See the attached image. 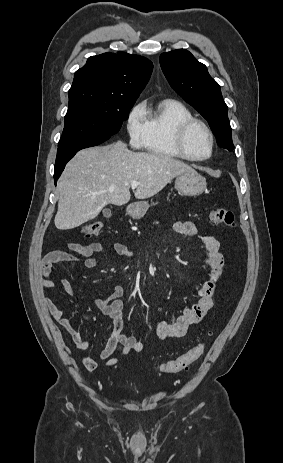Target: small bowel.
<instances>
[{"mask_svg": "<svg viewBox=\"0 0 283 463\" xmlns=\"http://www.w3.org/2000/svg\"><path fill=\"white\" fill-rule=\"evenodd\" d=\"M174 230L185 236H200L196 225L189 221L176 222ZM201 241L205 252V266L209 270V279L204 282L199 290L197 303L183 309L173 324H169L163 320L156 321L155 334L160 340L183 337L190 327L198 325L213 308L214 297L221 286L226 259L220 251L219 241L214 236L203 235L201 236ZM113 249L118 255L127 258L133 256L132 252L121 242L114 243ZM103 251V245L98 242H92L87 245L68 242L62 249L50 251L43 258L41 265V288L47 291L55 287V282L51 278L54 264L59 262H74L81 263L86 269H93L97 266V259L94 257V254L102 253ZM71 252H75L77 255ZM61 285L68 294L75 296L74 290L68 280H61ZM123 295L124 289L116 286L106 297L92 301V305L102 314L107 315L113 324L112 334L99 354L100 360L106 361V365L109 367L118 363V359L112 357L116 352L128 355L132 352H141L144 349V344L141 340L133 336H127L122 332L123 301L121 298ZM44 304L51 316L69 331L77 349L86 350L90 345L89 342L83 339L73 328L70 320L63 315V312L54 301L50 297L45 296ZM81 362L88 371H93L97 367L96 359L88 354L82 355Z\"/></svg>", "mask_w": 283, "mask_h": 463, "instance_id": "1", "label": "small bowel"}]
</instances>
